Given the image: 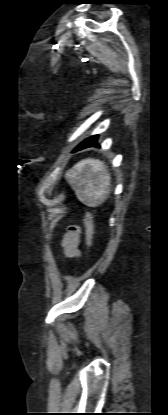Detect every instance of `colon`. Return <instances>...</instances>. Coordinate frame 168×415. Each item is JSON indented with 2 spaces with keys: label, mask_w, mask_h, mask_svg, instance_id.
Segmentation results:
<instances>
[{
  "label": "colon",
  "mask_w": 168,
  "mask_h": 415,
  "mask_svg": "<svg viewBox=\"0 0 168 415\" xmlns=\"http://www.w3.org/2000/svg\"><path fill=\"white\" fill-rule=\"evenodd\" d=\"M84 225H85V229H86L87 245L90 248H92L93 245H94L95 230H94L93 218H92V215L89 212L85 213Z\"/></svg>",
  "instance_id": "obj_1"
}]
</instances>
